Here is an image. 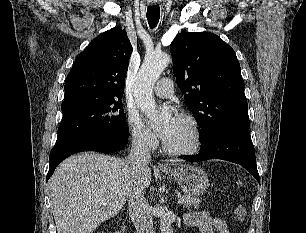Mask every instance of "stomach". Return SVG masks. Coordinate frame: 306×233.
Wrapping results in <instances>:
<instances>
[{"label":"stomach","mask_w":306,"mask_h":233,"mask_svg":"<svg viewBox=\"0 0 306 233\" xmlns=\"http://www.w3.org/2000/svg\"><path fill=\"white\" fill-rule=\"evenodd\" d=\"M162 172L172 176L186 194L194 197L202 195L209 186L205 171L194 165L185 164L177 169H164Z\"/></svg>","instance_id":"0dacf381"}]
</instances>
